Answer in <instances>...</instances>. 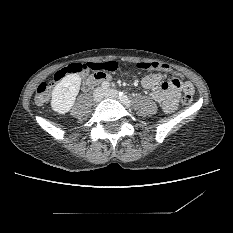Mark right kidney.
Returning <instances> with one entry per match:
<instances>
[{
	"label": "right kidney",
	"instance_id": "obj_1",
	"mask_svg": "<svg viewBox=\"0 0 233 233\" xmlns=\"http://www.w3.org/2000/svg\"><path fill=\"white\" fill-rule=\"evenodd\" d=\"M81 77L78 74H68L54 87L51 107L59 114H65L75 103L79 93Z\"/></svg>",
	"mask_w": 233,
	"mask_h": 233
}]
</instances>
